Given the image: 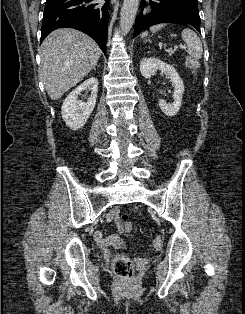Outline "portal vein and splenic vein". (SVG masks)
<instances>
[{
    "mask_svg": "<svg viewBox=\"0 0 245 314\" xmlns=\"http://www.w3.org/2000/svg\"><path fill=\"white\" fill-rule=\"evenodd\" d=\"M179 48H180V49H186V46H185V45L180 44V45H179Z\"/></svg>",
    "mask_w": 245,
    "mask_h": 314,
    "instance_id": "1",
    "label": "portal vein and splenic vein"
}]
</instances>
